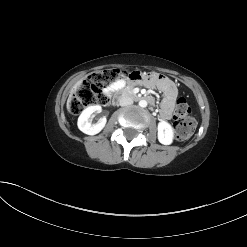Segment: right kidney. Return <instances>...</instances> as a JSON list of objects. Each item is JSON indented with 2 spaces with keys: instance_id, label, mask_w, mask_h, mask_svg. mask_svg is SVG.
Wrapping results in <instances>:
<instances>
[{
  "instance_id": "right-kidney-1",
  "label": "right kidney",
  "mask_w": 247,
  "mask_h": 247,
  "mask_svg": "<svg viewBox=\"0 0 247 247\" xmlns=\"http://www.w3.org/2000/svg\"><path fill=\"white\" fill-rule=\"evenodd\" d=\"M101 110V106L99 105L89 106L83 110L77 122L79 130L87 135H95L99 133L105 127L107 122L106 117L100 118L96 124H91L89 118L93 113H100Z\"/></svg>"
}]
</instances>
